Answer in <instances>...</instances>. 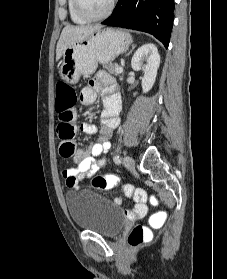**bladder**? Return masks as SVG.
<instances>
[{"mask_svg":"<svg viewBox=\"0 0 227 279\" xmlns=\"http://www.w3.org/2000/svg\"><path fill=\"white\" fill-rule=\"evenodd\" d=\"M65 201L77 228L115 236L124 226L125 219L120 206L105 200L96 192H67Z\"/></svg>","mask_w":227,"mask_h":279,"instance_id":"31cf9c89","label":"bladder"}]
</instances>
